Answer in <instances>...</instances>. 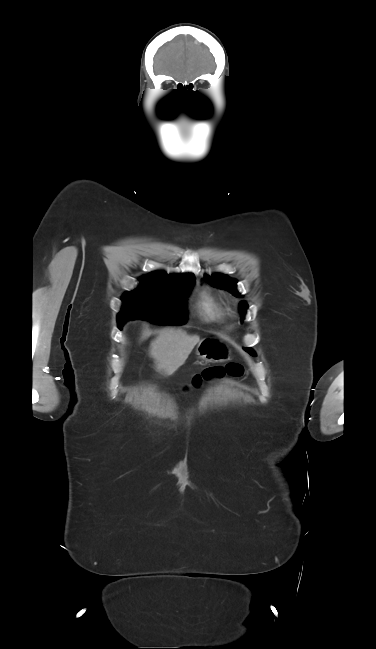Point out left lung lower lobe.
<instances>
[{"mask_svg": "<svg viewBox=\"0 0 376 649\" xmlns=\"http://www.w3.org/2000/svg\"><path fill=\"white\" fill-rule=\"evenodd\" d=\"M245 350H246L247 352H251V353L255 354L254 351H253L252 349H250V348H246Z\"/></svg>", "mask_w": 376, "mask_h": 649, "instance_id": "0a47b994", "label": "left lung lower lobe"}]
</instances>
